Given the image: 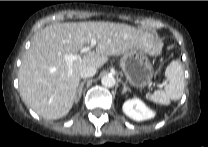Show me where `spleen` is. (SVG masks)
<instances>
[{
	"label": "spleen",
	"mask_w": 208,
	"mask_h": 147,
	"mask_svg": "<svg viewBox=\"0 0 208 147\" xmlns=\"http://www.w3.org/2000/svg\"><path fill=\"white\" fill-rule=\"evenodd\" d=\"M169 84L164 90L155 91L149 99L160 105H169L171 100H178L184 92V73L179 61H172L165 70Z\"/></svg>",
	"instance_id": "3e777b00"
}]
</instances>
